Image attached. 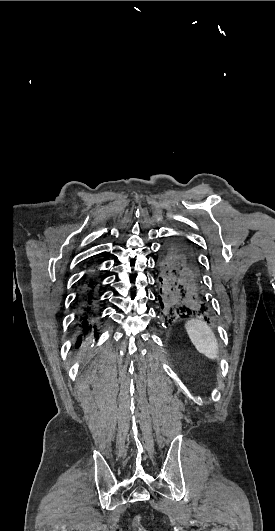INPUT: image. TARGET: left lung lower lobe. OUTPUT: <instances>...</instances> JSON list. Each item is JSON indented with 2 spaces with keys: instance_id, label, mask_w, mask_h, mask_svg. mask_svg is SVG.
Returning a JSON list of instances; mask_svg holds the SVG:
<instances>
[{
  "instance_id": "1",
  "label": "left lung lower lobe",
  "mask_w": 275,
  "mask_h": 531,
  "mask_svg": "<svg viewBox=\"0 0 275 531\" xmlns=\"http://www.w3.org/2000/svg\"><path fill=\"white\" fill-rule=\"evenodd\" d=\"M198 264L187 239L178 237L164 245L157 260V287L165 321L174 315H201L205 320L212 316Z\"/></svg>"
}]
</instances>
